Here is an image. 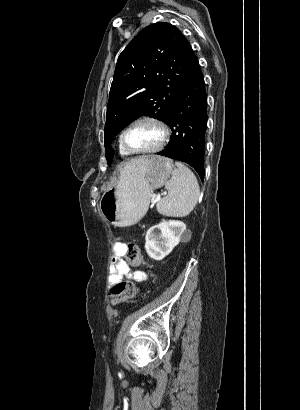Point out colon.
I'll use <instances>...</instances> for the list:
<instances>
[{
    "mask_svg": "<svg viewBox=\"0 0 300 410\" xmlns=\"http://www.w3.org/2000/svg\"><path fill=\"white\" fill-rule=\"evenodd\" d=\"M125 259L128 263L136 265L141 262V251L136 244H127L125 246ZM136 293L135 286L126 280L115 282L110 288V296L113 303H121L130 299Z\"/></svg>",
    "mask_w": 300,
    "mask_h": 410,
    "instance_id": "5ec220e1",
    "label": "colon"
}]
</instances>
